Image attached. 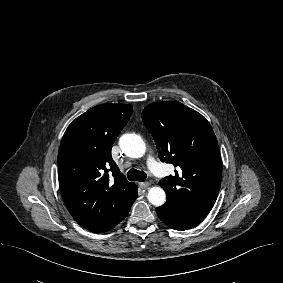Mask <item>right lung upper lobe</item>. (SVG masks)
Returning a JSON list of instances; mask_svg holds the SVG:
<instances>
[{
	"label": "right lung upper lobe",
	"instance_id": "obj_1",
	"mask_svg": "<svg viewBox=\"0 0 283 283\" xmlns=\"http://www.w3.org/2000/svg\"><path fill=\"white\" fill-rule=\"evenodd\" d=\"M127 104L98 105L68 126L58 154L59 184L72 217L106 232L129 212L138 187L121 174L111 147L132 114Z\"/></svg>",
	"mask_w": 283,
	"mask_h": 283
}]
</instances>
